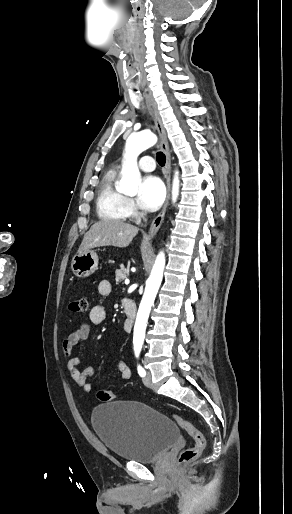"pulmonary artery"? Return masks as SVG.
I'll return each instance as SVG.
<instances>
[{"mask_svg": "<svg viewBox=\"0 0 292 514\" xmlns=\"http://www.w3.org/2000/svg\"><path fill=\"white\" fill-rule=\"evenodd\" d=\"M138 168L142 172H153L156 168V165L150 157L145 156L142 158L141 163L138 165Z\"/></svg>", "mask_w": 292, "mask_h": 514, "instance_id": "1", "label": "pulmonary artery"}]
</instances>
